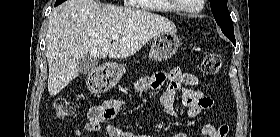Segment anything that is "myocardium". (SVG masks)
I'll return each mask as SVG.
<instances>
[{
  "label": "myocardium",
  "mask_w": 280,
  "mask_h": 137,
  "mask_svg": "<svg viewBox=\"0 0 280 137\" xmlns=\"http://www.w3.org/2000/svg\"><path fill=\"white\" fill-rule=\"evenodd\" d=\"M200 2V7L196 9H184L183 11L188 12V13H199L202 9L204 0H199ZM175 8H178V6H174Z\"/></svg>",
  "instance_id": "obj_1"
}]
</instances>
